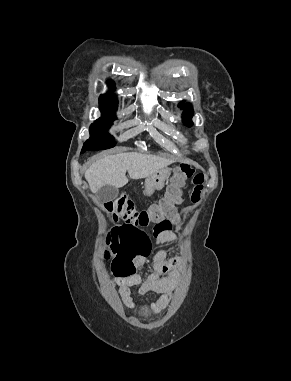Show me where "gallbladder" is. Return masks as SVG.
Listing matches in <instances>:
<instances>
[{
	"mask_svg": "<svg viewBox=\"0 0 291 381\" xmlns=\"http://www.w3.org/2000/svg\"><path fill=\"white\" fill-rule=\"evenodd\" d=\"M119 194L118 188L106 185L101 187L97 192V198L100 204H105L116 199Z\"/></svg>",
	"mask_w": 291,
	"mask_h": 381,
	"instance_id": "gallbladder-1",
	"label": "gallbladder"
}]
</instances>
